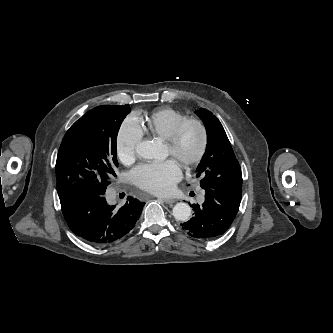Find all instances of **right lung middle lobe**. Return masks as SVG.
Returning <instances> with one entry per match:
<instances>
[{"label": "right lung middle lobe", "mask_w": 333, "mask_h": 333, "mask_svg": "<svg viewBox=\"0 0 333 333\" xmlns=\"http://www.w3.org/2000/svg\"><path fill=\"white\" fill-rule=\"evenodd\" d=\"M128 105H102L88 111L66 132L56 161L60 200L103 195L118 167L116 138Z\"/></svg>", "instance_id": "dd1d6c3e"}]
</instances>
